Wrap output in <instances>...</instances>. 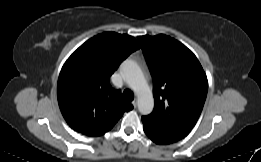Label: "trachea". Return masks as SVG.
I'll return each mask as SVG.
<instances>
[{
	"label": "trachea",
	"instance_id": "3493384b",
	"mask_svg": "<svg viewBox=\"0 0 261 162\" xmlns=\"http://www.w3.org/2000/svg\"><path fill=\"white\" fill-rule=\"evenodd\" d=\"M123 98H124L125 101L131 102V101H133V99H134V94H133V92L130 91L129 89H126V90H124V92H123Z\"/></svg>",
	"mask_w": 261,
	"mask_h": 162
}]
</instances>
